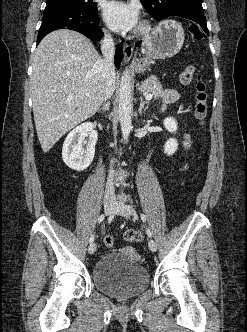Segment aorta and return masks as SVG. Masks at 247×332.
<instances>
[{
    "mask_svg": "<svg viewBox=\"0 0 247 332\" xmlns=\"http://www.w3.org/2000/svg\"><path fill=\"white\" fill-rule=\"evenodd\" d=\"M119 120L124 142L128 141L132 126L131 77L123 72L119 86Z\"/></svg>",
    "mask_w": 247,
    "mask_h": 332,
    "instance_id": "obj_1",
    "label": "aorta"
}]
</instances>
